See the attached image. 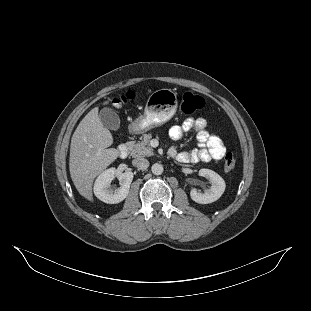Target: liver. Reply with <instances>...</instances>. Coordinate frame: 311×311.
<instances>
[{
  "label": "liver",
  "mask_w": 311,
  "mask_h": 311,
  "mask_svg": "<svg viewBox=\"0 0 311 311\" xmlns=\"http://www.w3.org/2000/svg\"><path fill=\"white\" fill-rule=\"evenodd\" d=\"M112 135L103 127L95 107L77 126L70 144L69 168L78 191L91 198V184L96 175L107 167L118 152L112 145Z\"/></svg>",
  "instance_id": "6515ba94"
}]
</instances>
